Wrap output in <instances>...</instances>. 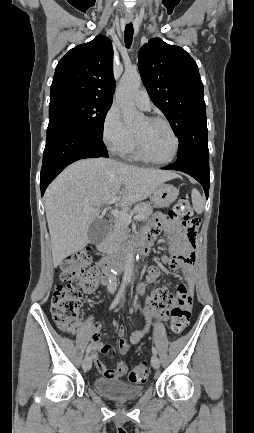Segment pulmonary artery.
Segmentation results:
<instances>
[{"mask_svg": "<svg viewBox=\"0 0 254 433\" xmlns=\"http://www.w3.org/2000/svg\"><path fill=\"white\" fill-rule=\"evenodd\" d=\"M134 103L139 109L143 111H150L152 107V102L150 100V97L145 90H139L135 94Z\"/></svg>", "mask_w": 254, "mask_h": 433, "instance_id": "obj_1", "label": "pulmonary artery"}]
</instances>
